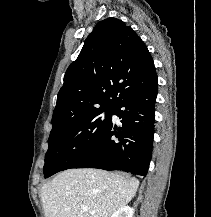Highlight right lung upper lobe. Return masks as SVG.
Wrapping results in <instances>:
<instances>
[{
    "instance_id": "1",
    "label": "right lung upper lobe",
    "mask_w": 211,
    "mask_h": 217,
    "mask_svg": "<svg viewBox=\"0 0 211 217\" xmlns=\"http://www.w3.org/2000/svg\"><path fill=\"white\" fill-rule=\"evenodd\" d=\"M154 74L151 54L131 27L116 18L98 22L64 75L52 128L95 110L113 109Z\"/></svg>"
}]
</instances>
